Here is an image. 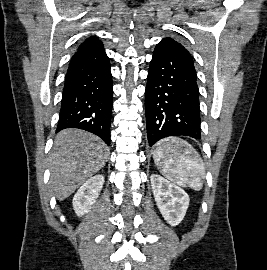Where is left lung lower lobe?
Here are the masks:
<instances>
[{"mask_svg":"<svg viewBox=\"0 0 267 270\" xmlns=\"http://www.w3.org/2000/svg\"><path fill=\"white\" fill-rule=\"evenodd\" d=\"M149 146L169 136L201 138L199 91L190 53L163 39L153 52L145 90Z\"/></svg>","mask_w":267,"mask_h":270,"instance_id":"1","label":"left lung lower lobe"}]
</instances>
